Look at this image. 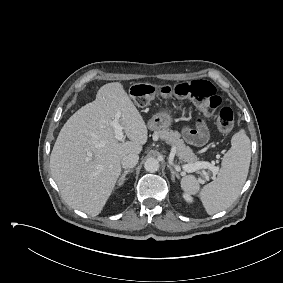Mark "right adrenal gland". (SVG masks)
I'll return each mask as SVG.
<instances>
[{"label":"right adrenal gland","mask_w":283,"mask_h":283,"mask_svg":"<svg viewBox=\"0 0 283 283\" xmlns=\"http://www.w3.org/2000/svg\"><path fill=\"white\" fill-rule=\"evenodd\" d=\"M130 172H133V169H128V170H125V171L123 172V174L121 175V177L119 178V180H118V182H117L118 186H121V185L124 184L125 177H126V175H127L128 173H130Z\"/></svg>","instance_id":"right-adrenal-gland-1"}]
</instances>
